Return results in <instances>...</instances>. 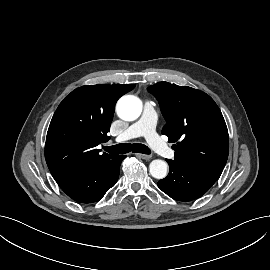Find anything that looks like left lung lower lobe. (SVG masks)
I'll list each match as a JSON object with an SVG mask.
<instances>
[{
    "instance_id": "1",
    "label": "left lung lower lobe",
    "mask_w": 270,
    "mask_h": 270,
    "mask_svg": "<svg viewBox=\"0 0 270 270\" xmlns=\"http://www.w3.org/2000/svg\"><path fill=\"white\" fill-rule=\"evenodd\" d=\"M166 161L169 164V174L158 182V187L175 200L190 201L199 198L221 175L207 168L189 166L169 159Z\"/></svg>"
}]
</instances>
